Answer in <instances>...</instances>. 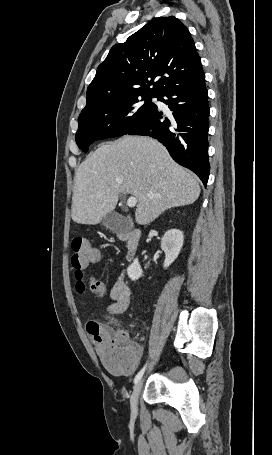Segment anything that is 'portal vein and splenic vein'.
<instances>
[{
    "label": "portal vein and splenic vein",
    "mask_w": 272,
    "mask_h": 455,
    "mask_svg": "<svg viewBox=\"0 0 272 455\" xmlns=\"http://www.w3.org/2000/svg\"><path fill=\"white\" fill-rule=\"evenodd\" d=\"M137 204V198L134 196H131L127 199V206L130 208L135 207Z\"/></svg>",
    "instance_id": "obj_1"
}]
</instances>
